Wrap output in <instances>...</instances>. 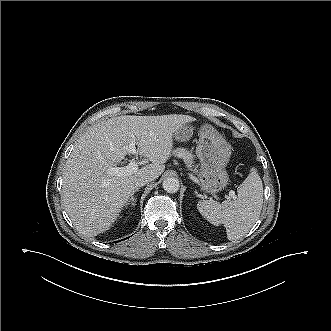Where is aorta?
I'll return each mask as SVG.
<instances>
[{
	"instance_id": "1",
	"label": "aorta",
	"mask_w": 331,
	"mask_h": 331,
	"mask_svg": "<svg viewBox=\"0 0 331 331\" xmlns=\"http://www.w3.org/2000/svg\"><path fill=\"white\" fill-rule=\"evenodd\" d=\"M163 189L168 193H176L180 188L179 180L175 177H168L162 183Z\"/></svg>"
}]
</instances>
